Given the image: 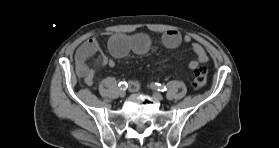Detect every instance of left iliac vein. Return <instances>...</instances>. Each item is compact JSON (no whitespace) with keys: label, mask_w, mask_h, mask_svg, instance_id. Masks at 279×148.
Here are the masks:
<instances>
[{"label":"left iliac vein","mask_w":279,"mask_h":148,"mask_svg":"<svg viewBox=\"0 0 279 148\" xmlns=\"http://www.w3.org/2000/svg\"><path fill=\"white\" fill-rule=\"evenodd\" d=\"M153 96H154L155 98H157L158 100H163L162 94H160V93L157 92V91L153 92Z\"/></svg>","instance_id":"obj_1"}]
</instances>
